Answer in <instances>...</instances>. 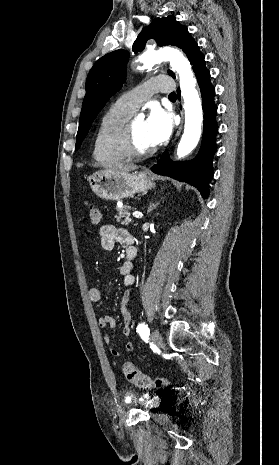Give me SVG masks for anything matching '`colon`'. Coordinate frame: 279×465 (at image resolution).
<instances>
[{"label":"colon","instance_id":"obj_1","mask_svg":"<svg viewBox=\"0 0 279 465\" xmlns=\"http://www.w3.org/2000/svg\"><path fill=\"white\" fill-rule=\"evenodd\" d=\"M88 214L93 224H99L101 222L102 213L97 205L90 204L88 207ZM122 373L129 382L144 389L163 388L168 386L170 383L166 378L151 377L141 373L134 364L129 362L122 365Z\"/></svg>","mask_w":279,"mask_h":465}]
</instances>
